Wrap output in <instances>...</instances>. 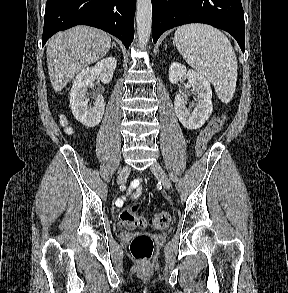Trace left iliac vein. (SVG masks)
I'll return each mask as SVG.
<instances>
[{
  "label": "left iliac vein",
  "instance_id": "1",
  "mask_svg": "<svg viewBox=\"0 0 288 293\" xmlns=\"http://www.w3.org/2000/svg\"><path fill=\"white\" fill-rule=\"evenodd\" d=\"M150 170L161 181L163 187L166 190H169L171 183L161 165L158 162H154L151 165Z\"/></svg>",
  "mask_w": 288,
  "mask_h": 293
}]
</instances>
